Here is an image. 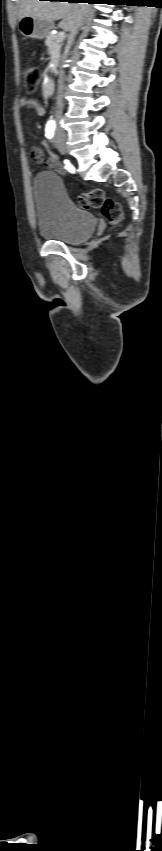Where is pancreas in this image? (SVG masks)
<instances>
[{
	"label": "pancreas",
	"mask_w": 162,
	"mask_h": 851,
	"mask_svg": "<svg viewBox=\"0 0 162 851\" xmlns=\"http://www.w3.org/2000/svg\"><path fill=\"white\" fill-rule=\"evenodd\" d=\"M63 39L59 37V34H49L46 37L45 44L48 47L49 54L51 56V62L56 66L59 62L57 55L60 53L61 45ZM55 68H52L51 71H54Z\"/></svg>",
	"instance_id": "cf45deb5"
}]
</instances>
